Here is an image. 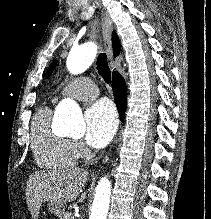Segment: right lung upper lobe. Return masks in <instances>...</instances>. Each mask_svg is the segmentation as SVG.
Instances as JSON below:
<instances>
[{
  "label": "right lung upper lobe",
  "instance_id": "1",
  "mask_svg": "<svg viewBox=\"0 0 211 219\" xmlns=\"http://www.w3.org/2000/svg\"><path fill=\"white\" fill-rule=\"evenodd\" d=\"M112 45L114 56H117L120 53V42L115 32L112 34Z\"/></svg>",
  "mask_w": 211,
  "mask_h": 219
}]
</instances>
